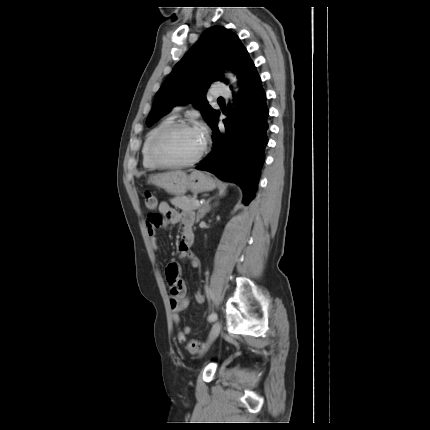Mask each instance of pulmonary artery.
Wrapping results in <instances>:
<instances>
[{
	"label": "pulmonary artery",
	"mask_w": 430,
	"mask_h": 430,
	"mask_svg": "<svg viewBox=\"0 0 430 430\" xmlns=\"http://www.w3.org/2000/svg\"><path fill=\"white\" fill-rule=\"evenodd\" d=\"M214 95L223 96V97H229L230 96V90L227 86L220 84L214 89ZM180 110V108H176L175 111Z\"/></svg>",
	"instance_id": "1"
}]
</instances>
